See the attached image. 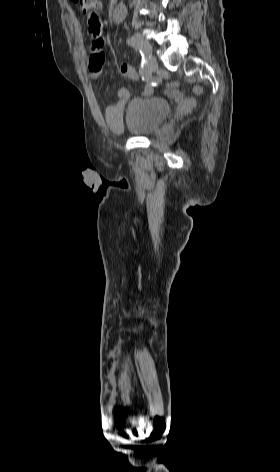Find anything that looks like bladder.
Masks as SVG:
<instances>
[{"label": "bladder", "mask_w": 280, "mask_h": 472, "mask_svg": "<svg viewBox=\"0 0 280 472\" xmlns=\"http://www.w3.org/2000/svg\"><path fill=\"white\" fill-rule=\"evenodd\" d=\"M170 111V103L163 98L132 96L124 107L126 129L134 136L150 135L163 125Z\"/></svg>", "instance_id": "bladder-1"}]
</instances>
